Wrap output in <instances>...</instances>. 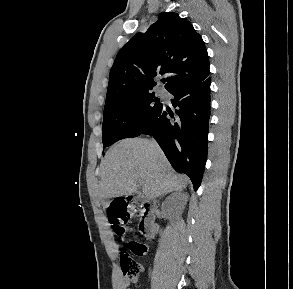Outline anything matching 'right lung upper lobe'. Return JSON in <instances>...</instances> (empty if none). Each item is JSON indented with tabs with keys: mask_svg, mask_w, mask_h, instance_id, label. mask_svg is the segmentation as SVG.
<instances>
[{
	"mask_svg": "<svg viewBox=\"0 0 293 289\" xmlns=\"http://www.w3.org/2000/svg\"><path fill=\"white\" fill-rule=\"evenodd\" d=\"M157 75L167 77L165 88L169 92L202 82L209 75L200 34L177 13H161L144 34H136L122 47L110 71L105 104L150 92Z\"/></svg>",
	"mask_w": 293,
	"mask_h": 289,
	"instance_id": "1",
	"label": "right lung upper lobe"
}]
</instances>
